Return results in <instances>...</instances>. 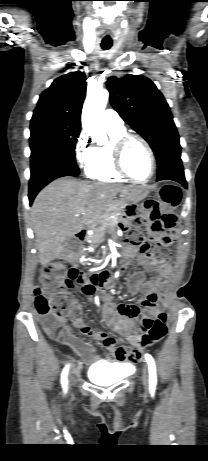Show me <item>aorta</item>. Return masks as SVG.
Returning a JSON list of instances; mask_svg holds the SVG:
<instances>
[{
	"instance_id": "aorta-1",
	"label": "aorta",
	"mask_w": 208,
	"mask_h": 461,
	"mask_svg": "<svg viewBox=\"0 0 208 461\" xmlns=\"http://www.w3.org/2000/svg\"><path fill=\"white\" fill-rule=\"evenodd\" d=\"M109 99L106 89L88 92L82 110V127L84 132L91 136L98 145L107 142L103 125V112Z\"/></svg>"
}]
</instances>
